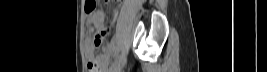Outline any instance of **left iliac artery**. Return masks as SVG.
I'll use <instances>...</instances> for the list:
<instances>
[{
	"label": "left iliac artery",
	"instance_id": "1",
	"mask_svg": "<svg viewBox=\"0 0 267 72\" xmlns=\"http://www.w3.org/2000/svg\"><path fill=\"white\" fill-rule=\"evenodd\" d=\"M119 61H120V56L117 55V57L115 58L114 62L111 65L110 69H113L114 67H116L119 64Z\"/></svg>",
	"mask_w": 267,
	"mask_h": 72
}]
</instances>
